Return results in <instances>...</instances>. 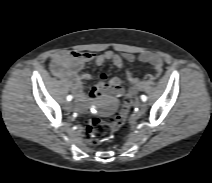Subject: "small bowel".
I'll return each instance as SVG.
<instances>
[{"instance_id":"obj_1","label":"small bowel","mask_w":212,"mask_h":183,"mask_svg":"<svg viewBox=\"0 0 212 183\" xmlns=\"http://www.w3.org/2000/svg\"><path fill=\"white\" fill-rule=\"evenodd\" d=\"M124 60L134 62L136 60L148 63L154 68L155 73H160L163 67L161 57L152 52H144L138 57L131 53H123L122 55L113 51H106L101 54L80 53L76 51L57 52L51 57L52 72L62 80H64L74 92L78 107L81 110L86 108L87 97L82 88V82L90 79V75L79 72L89 62H94L96 66L103 65L106 61H110L116 68L123 67ZM129 82V90L138 92L143 89V82L138 79L131 71L126 72ZM126 91L123 81L118 77L109 78L106 74H102L100 81L94 86L89 94L90 99H97L102 95L119 96Z\"/></svg>"}]
</instances>
